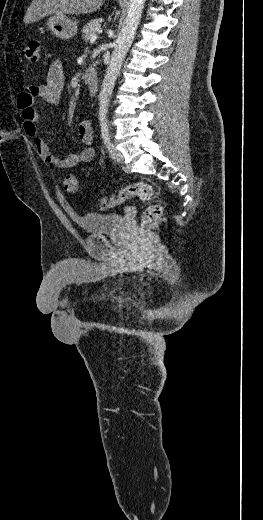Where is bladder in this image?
<instances>
[{
    "instance_id": "31cf9c89",
    "label": "bladder",
    "mask_w": 263,
    "mask_h": 520,
    "mask_svg": "<svg viewBox=\"0 0 263 520\" xmlns=\"http://www.w3.org/2000/svg\"><path fill=\"white\" fill-rule=\"evenodd\" d=\"M80 230L89 235L117 233L126 226V219L118 213H87L73 215Z\"/></svg>"
}]
</instances>
